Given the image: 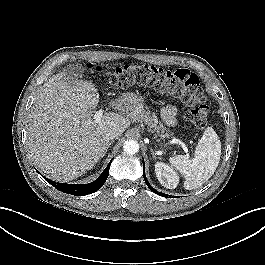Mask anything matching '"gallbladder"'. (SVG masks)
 Masks as SVG:
<instances>
[{"label": "gallbladder", "instance_id": "1", "mask_svg": "<svg viewBox=\"0 0 265 265\" xmlns=\"http://www.w3.org/2000/svg\"><path fill=\"white\" fill-rule=\"evenodd\" d=\"M66 75L71 78L72 81H74V77H78L82 74L83 68L80 65H71L66 70ZM74 86V83L71 84Z\"/></svg>", "mask_w": 265, "mask_h": 265}]
</instances>
